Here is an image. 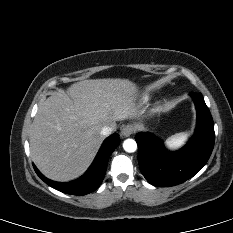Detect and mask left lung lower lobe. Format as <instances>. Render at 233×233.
Instances as JSON below:
<instances>
[{"mask_svg":"<svg viewBox=\"0 0 233 233\" xmlns=\"http://www.w3.org/2000/svg\"><path fill=\"white\" fill-rule=\"evenodd\" d=\"M197 110L193 138L177 152L167 151L149 132L138 133L139 167L146 180L158 187H170L193 177L207 163L215 141L214 123L201 94L190 93Z\"/></svg>","mask_w":233,"mask_h":233,"instance_id":"0a47b994","label":"left lung lower lobe"}]
</instances>
